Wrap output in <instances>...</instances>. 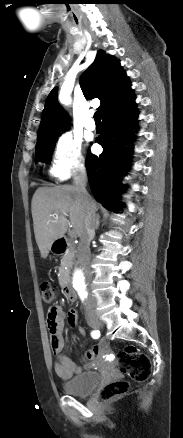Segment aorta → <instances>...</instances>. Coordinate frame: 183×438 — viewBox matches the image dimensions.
I'll return each mask as SVG.
<instances>
[{
	"label": "aorta",
	"mask_w": 183,
	"mask_h": 438,
	"mask_svg": "<svg viewBox=\"0 0 183 438\" xmlns=\"http://www.w3.org/2000/svg\"><path fill=\"white\" fill-rule=\"evenodd\" d=\"M71 285L78 293L81 299L87 296L89 282L84 274L83 269H75L71 276Z\"/></svg>",
	"instance_id": "obj_1"
}]
</instances>
